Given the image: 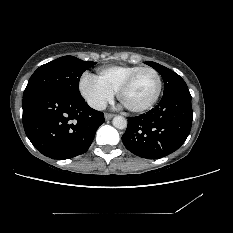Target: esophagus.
I'll return each instance as SVG.
<instances>
[{
	"label": "esophagus",
	"mask_w": 233,
	"mask_h": 233,
	"mask_svg": "<svg viewBox=\"0 0 233 233\" xmlns=\"http://www.w3.org/2000/svg\"><path fill=\"white\" fill-rule=\"evenodd\" d=\"M113 114H110V113H106L105 114V120H110V119H112L113 118Z\"/></svg>",
	"instance_id": "esophagus-1"
}]
</instances>
